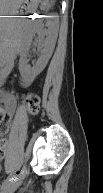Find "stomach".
<instances>
[{
	"instance_id": "stomach-1",
	"label": "stomach",
	"mask_w": 103,
	"mask_h": 193,
	"mask_svg": "<svg viewBox=\"0 0 103 193\" xmlns=\"http://www.w3.org/2000/svg\"><path fill=\"white\" fill-rule=\"evenodd\" d=\"M40 0H0V15L3 18V32L5 33L10 28H7V23L10 21L6 17L13 15H21L31 13L36 10ZM11 36L2 39V56L9 50Z\"/></svg>"
}]
</instances>
